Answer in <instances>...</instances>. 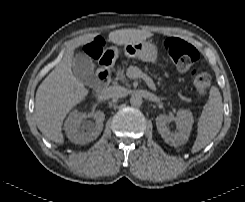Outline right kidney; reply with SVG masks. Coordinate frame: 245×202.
<instances>
[{
    "label": "right kidney",
    "mask_w": 245,
    "mask_h": 202,
    "mask_svg": "<svg viewBox=\"0 0 245 202\" xmlns=\"http://www.w3.org/2000/svg\"><path fill=\"white\" fill-rule=\"evenodd\" d=\"M91 116L94 122H84L85 113L77 110L70 113L64 124V130L70 141L75 144H85L95 140L100 135L105 115L102 111H96Z\"/></svg>",
    "instance_id": "1"
}]
</instances>
